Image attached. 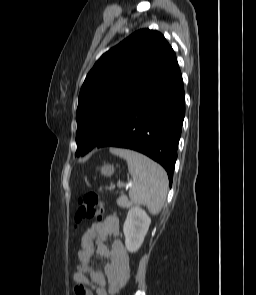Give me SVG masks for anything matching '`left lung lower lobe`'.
Wrapping results in <instances>:
<instances>
[{"instance_id": "1", "label": "left lung lower lobe", "mask_w": 256, "mask_h": 295, "mask_svg": "<svg viewBox=\"0 0 256 295\" xmlns=\"http://www.w3.org/2000/svg\"><path fill=\"white\" fill-rule=\"evenodd\" d=\"M184 115L185 94L178 68L96 146L127 148L147 155L165 168L171 185Z\"/></svg>"}]
</instances>
